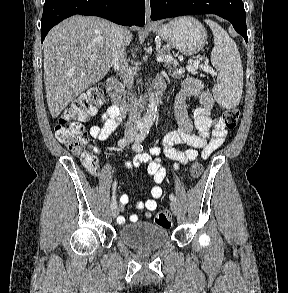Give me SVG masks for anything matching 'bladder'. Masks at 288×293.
<instances>
[{
	"mask_svg": "<svg viewBox=\"0 0 288 293\" xmlns=\"http://www.w3.org/2000/svg\"><path fill=\"white\" fill-rule=\"evenodd\" d=\"M119 238L131 247L150 250L164 246L169 240V232L150 222H136L122 226Z\"/></svg>",
	"mask_w": 288,
	"mask_h": 293,
	"instance_id": "31cf9c89",
	"label": "bladder"
}]
</instances>
